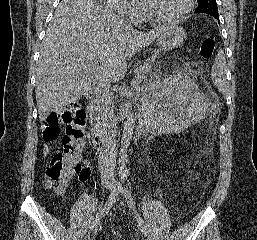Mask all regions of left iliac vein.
I'll list each match as a JSON object with an SVG mask.
<instances>
[{"label":"left iliac vein","instance_id":"obj_1","mask_svg":"<svg viewBox=\"0 0 257 240\" xmlns=\"http://www.w3.org/2000/svg\"><path fill=\"white\" fill-rule=\"evenodd\" d=\"M116 188L119 192H122V186L120 183H116Z\"/></svg>","mask_w":257,"mask_h":240}]
</instances>
